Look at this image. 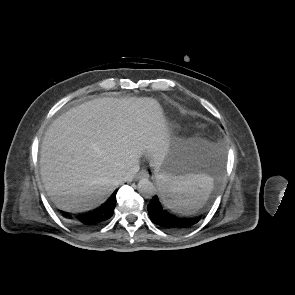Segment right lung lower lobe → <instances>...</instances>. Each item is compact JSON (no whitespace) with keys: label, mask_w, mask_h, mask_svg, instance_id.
<instances>
[{"label":"right lung lower lobe","mask_w":295,"mask_h":295,"mask_svg":"<svg viewBox=\"0 0 295 295\" xmlns=\"http://www.w3.org/2000/svg\"><path fill=\"white\" fill-rule=\"evenodd\" d=\"M116 192L117 191H115L111 197L96 211L78 216L77 218L80 223L85 227H92L101 225L109 219L113 215L116 205Z\"/></svg>","instance_id":"obj_1"}]
</instances>
